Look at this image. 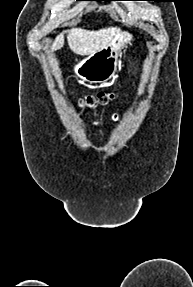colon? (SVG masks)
I'll use <instances>...</instances> for the list:
<instances>
[{
	"instance_id": "colon-1",
	"label": "colon",
	"mask_w": 193,
	"mask_h": 287,
	"mask_svg": "<svg viewBox=\"0 0 193 287\" xmlns=\"http://www.w3.org/2000/svg\"><path fill=\"white\" fill-rule=\"evenodd\" d=\"M114 98L112 92H99L97 94L87 95L82 103L89 107H94L97 105H106Z\"/></svg>"
}]
</instances>
